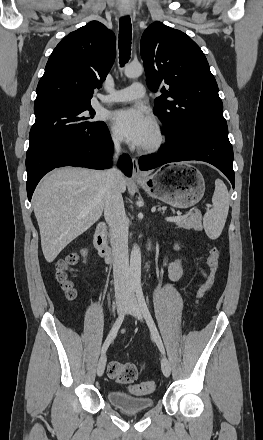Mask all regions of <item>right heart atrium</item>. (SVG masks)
Returning <instances> with one entry per match:
<instances>
[{
    "mask_svg": "<svg viewBox=\"0 0 263 440\" xmlns=\"http://www.w3.org/2000/svg\"><path fill=\"white\" fill-rule=\"evenodd\" d=\"M110 142L114 145V146H119L121 143L120 138L115 134V133H111L110 134Z\"/></svg>",
    "mask_w": 263,
    "mask_h": 440,
    "instance_id": "obj_1",
    "label": "right heart atrium"
}]
</instances>
